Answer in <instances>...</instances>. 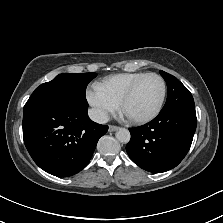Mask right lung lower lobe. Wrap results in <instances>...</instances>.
Wrapping results in <instances>:
<instances>
[{
  "label": "right lung lower lobe",
  "mask_w": 223,
  "mask_h": 223,
  "mask_svg": "<svg viewBox=\"0 0 223 223\" xmlns=\"http://www.w3.org/2000/svg\"><path fill=\"white\" fill-rule=\"evenodd\" d=\"M88 108L43 106L23 112V139L34 162L44 171L67 177L90 161L108 126L93 122Z\"/></svg>",
  "instance_id": "1"
}]
</instances>
